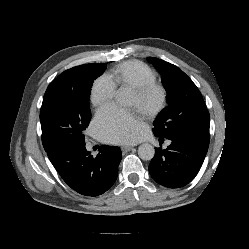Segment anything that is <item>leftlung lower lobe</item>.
<instances>
[{
	"instance_id": "1",
	"label": "left lung lower lobe",
	"mask_w": 249,
	"mask_h": 249,
	"mask_svg": "<svg viewBox=\"0 0 249 249\" xmlns=\"http://www.w3.org/2000/svg\"><path fill=\"white\" fill-rule=\"evenodd\" d=\"M170 140L172 143L166 149L156 148L149 171L159 184L179 188L197 175L208 151L209 140L193 137Z\"/></svg>"
}]
</instances>
